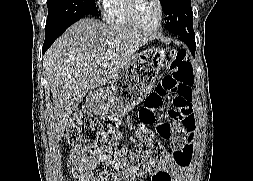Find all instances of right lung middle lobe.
Returning <instances> with one entry per match:
<instances>
[{"instance_id": "dd1d6c3e", "label": "right lung middle lobe", "mask_w": 253, "mask_h": 181, "mask_svg": "<svg viewBox=\"0 0 253 181\" xmlns=\"http://www.w3.org/2000/svg\"><path fill=\"white\" fill-rule=\"evenodd\" d=\"M45 33L57 31L86 15L98 14L95 0H47Z\"/></svg>"}]
</instances>
